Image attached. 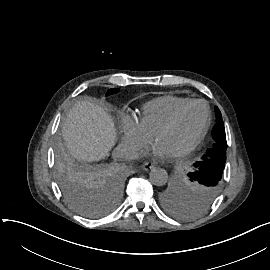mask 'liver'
<instances>
[{
    "instance_id": "obj_1",
    "label": "liver",
    "mask_w": 270,
    "mask_h": 270,
    "mask_svg": "<svg viewBox=\"0 0 270 270\" xmlns=\"http://www.w3.org/2000/svg\"><path fill=\"white\" fill-rule=\"evenodd\" d=\"M63 137L73 157L97 160L108 155L116 132L111 118L92 102H77L63 124Z\"/></svg>"
}]
</instances>
